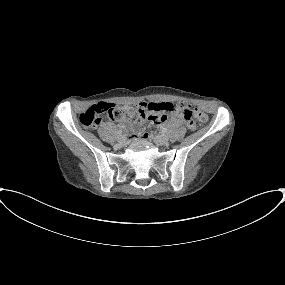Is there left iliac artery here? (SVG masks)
Here are the masks:
<instances>
[{
  "label": "left iliac artery",
  "instance_id": "obj_1",
  "mask_svg": "<svg viewBox=\"0 0 285 285\" xmlns=\"http://www.w3.org/2000/svg\"><path fill=\"white\" fill-rule=\"evenodd\" d=\"M162 133L163 134L167 133V129L166 128H162Z\"/></svg>",
  "mask_w": 285,
  "mask_h": 285
}]
</instances>
